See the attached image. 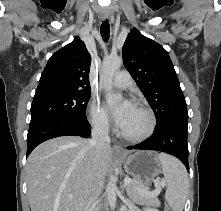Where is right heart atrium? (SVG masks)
Returning a JSON list of instances; mask_svg holds the SVG:
<instances>
[{
  "instance_id": "1",
  "label": "right heart atrium",
  "mask_w": 221,
  "mask_h": 211,
  "mask_svg": "<svg viewBox=\"0 0 221 211\" xmlns=\"http://www.w3.org/2000/svg\"><path fill=\"white\" fill-rule=\"evenodd\" d=\"M89 120L91 125L98 131L107 132L110 129L109 116L96 99L90 101Z\"/></svg>"
}]
</instances>
